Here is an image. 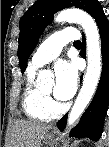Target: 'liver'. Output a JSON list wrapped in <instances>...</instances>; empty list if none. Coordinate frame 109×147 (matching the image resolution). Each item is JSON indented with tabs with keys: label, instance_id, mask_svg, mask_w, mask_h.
Instances as JSON below:
<instances>
[{
	"label": "liver",
	"instance_id": "obj_1",
	"mask_svg": "<svg viewBox=\"0 0 109 147\" xmlns=\"http://www.w3.org/2000/svg\"><path fill=\"white\" fill-rule=\"evenodd\" d=\"M51 124L36 121L16 120L8 147H41L46 133L52 129Z\"/></svg>",
	"mask_w": 109,
	"mask_h": 147
}]
</instances>
